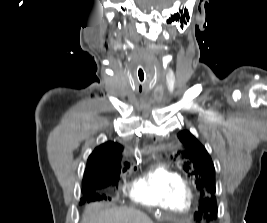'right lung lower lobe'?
<instances>
[{
    "label": "right lung lower lobe",
    "instance_id": "1",
    "mask_svg": "<svg viewBox=\"0 0 267 223\" xmlns=\"http://www.w3.org/2000/svg\"><path fill=\"white\" fill-rule=\"evenodd\" d=\"M104 185H105V181L102 179H84L82 191L84 193H91V192H94L95 189L107 187Z\"/></svg>",
    "mask_w": 267,
    "mask_h": 223
}]
</instances>
